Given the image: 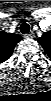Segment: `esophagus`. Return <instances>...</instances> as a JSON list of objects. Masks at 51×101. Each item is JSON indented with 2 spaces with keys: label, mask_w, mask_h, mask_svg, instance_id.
<instances>
[{
  "label": "esophagus",
  "mask_w": 51,
  "mask_h": 101,
  "mask_svg": "<svg viewBox=\"0 0 51 101\" xmlns=\"http://www.w3.org/2000/svg\"><path fill=\"white\" fill-rule=\"evenodd\" d=\"M34 36L33 32L25 34V38H32Z\"/></svg>",
  "instance_id": "1"
}]
</instances>
